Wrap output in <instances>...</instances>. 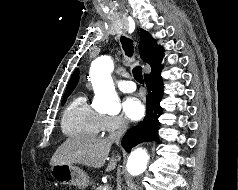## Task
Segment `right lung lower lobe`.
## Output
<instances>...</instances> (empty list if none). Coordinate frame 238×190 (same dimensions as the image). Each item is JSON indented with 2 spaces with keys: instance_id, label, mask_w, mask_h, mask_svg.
I'll return each mask as SVG.
<instances>
[{
  "instance_id": "1",
  "label": "right lung lower lobe",
  "mask_w": 238,
  "mask_h": 190,
  "mask_svg": "<svg viewBox=\"0 0 238 190\" xmlns=\"http://www.w3.org/2000/svg\"><path fill=\"white\" fill-rule=\"evenodd\" d=\"M162 69V68H161ZM161 69L145 76L148 88L146 102V117L137 126L129 129L122 139V146L126 151L146 140H156L159 129L158 117L162 114L160 101L163 96V82Z\"/></svg>"
}]
</instances>
